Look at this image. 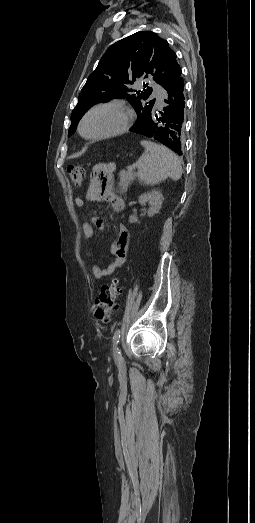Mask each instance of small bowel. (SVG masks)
Segmentation results:
<instances>
[{
	"mask_svg": "<svg viewBox=\"0 0 255 523\" xmlns=\"http://www.w3.org/2000/svg\"><path fill=\"white\" fill-rule=\"evenodd\" d=\"M112 169V167L110 168ZM97 197L96 189L94 186H91L87 193H86V199L88 200H94ZM102 197L107 200L114 211L120 212L124 208V202L123 200L118 197L114 191L112 186V179L109 178L107 181L103 184L102 187ZM75 205L77 207H83L85 205V198L83 197H76L75 198ZM93 227L103 230L105 228V222L100 217H93L91 220V223L89 222H83L82 224V234L85 241H89L94 233ZM128 244H129V232L126 227L120 226L119 228V235L117 240L112 244L111 246V253L114 255V261L108 265L106 268H102L96 263L91 264V272L93 276L97 279L105 278L112 273L116 269L121 268L126 260V254L128 250ZM86 256L90 259H92V253L89 249H86Z\"/></svg>",
	"mask_w": 255,
	"mask_h": 523,
	"instance_id": "small-bowel-1",
	"label": "small bowel"
}]
</instances>
